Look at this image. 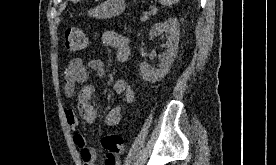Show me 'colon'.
<instances>
[{
    "label": "colon",
    "instance_id": "obj_1",
    "mask_svg": "<svg viewBox=\"0 0 276 165\" xmlns=\"http://www.w3.org/2000/svg\"><path fill=\"white\" fill-rule=\"evenodd\" d=\"M65 47L70 52L86 49L88 40L84 32L77 27L67 28L64 35ZM102 146L109 156L122 154L125 150V138L121 134H109L103 137Z\"/></svg>",
    "mask_w": 276,
    "mask_h": 165
}]
</instances>
